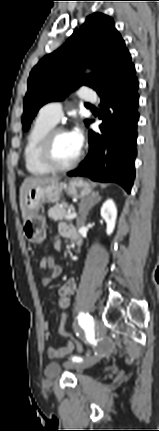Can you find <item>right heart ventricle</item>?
<instances>
[{
	"mask_svg": "<svg viewBox=\"0 0 159 431\" xmlns=\"http://www.w3.org/2000/svg\"><path fill=\"white\" fill-rule=\"evenodd\" d=\"M54 125L55 124L53 122L39 114L27 134L23 157L26 170L32 175L44 176L52 172L41 161L40 146L45 135L54 127Z\"/></svg>",
	"mask_w": 159,
	"mask_h": 431,
	"instance_id": "1",
	"label": "right heart ventricle"
}]
</instances>
